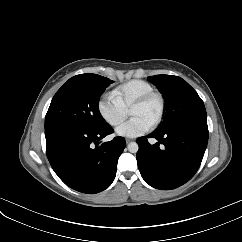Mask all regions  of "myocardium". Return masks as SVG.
I'll return each mask as SVG.
<instances>
[{"mask_svg":"<svg viewBox=\"0 0 242 242\" xmlns=\"http://www.w3.org/2000/svg\"><path fill=\"white\" fill-rule=\"evenodd\" d=\"M157 99L159 101V113L156 118V120L153 122L151 125V128H156L160 123L162 122L164 115H165V110H166V101L164 96L157 91H151L140 98H138L136 101L133 102V104L130 107V111L135 108V107H140L148 103L152 99Z\"/></svg>","mask_w":242,"mask_h":242,"instance_id":"f54148a6","label":"myocardium"}]
</instances>
